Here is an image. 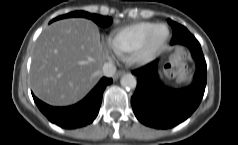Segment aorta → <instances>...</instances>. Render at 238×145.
<instances>
[{
	"label": "aorta",
	"instance_id": "obj_1",
	"mask_svg": "<svg viewBox=\"0 0 238 145\" xmlns=\"http://www.w3.org/2000/svg\"><path fill=\"white\" fill-rule=\"evenodd\" d=\"M120 83L126 89H135L137 81L132 74H124L120 79Z\"/></svg>",
	"mask_w": 238,
	"mask_h": 145
}]
</instances>
